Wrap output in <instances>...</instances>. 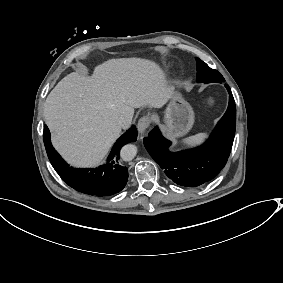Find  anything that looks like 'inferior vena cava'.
Listing matches in <instances>:
<instances>
[{
    "label": "inferior vena cava",
    "instance_id": "obj_1",
    "mask_svg": "<svg viewBox=\"0 0 283 283\" xmlns=\"http://www.w3.org/2000/svg\"><path fill=\"white\" fill-rule=\"evenodd\" d=\"M118 123L121 127H127L130 122L125 117H121Z\"/></svg>",
    "mask_w": 283,
    "mask_h": 283
}]
</instances>
